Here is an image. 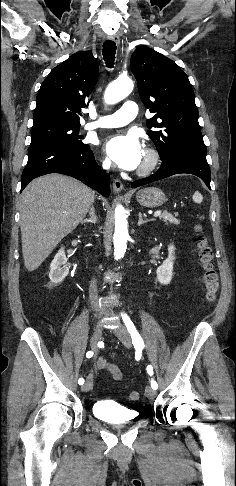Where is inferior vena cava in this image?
Masks as SVG:
<instances>
[{
  "label": "inferior vena cava",
  "instance_id": "obj_1",
  "mask_svg": "<svg viewBox=\"0 0 236 486\" xmlns=\"http://www.w3.org/2000/svg\"><path fill=\"white\" fill-rule=\"evenodd\" d=\"M111 165V161L106 160L103 162V168L104 169H109ZM89 298L91 300V305L95 310H98V305H97V287H96V281L92 280L89 288Z\"/></svg>",
  "mask_w": 236,
  "mask_h": 486
}]
</instances>
